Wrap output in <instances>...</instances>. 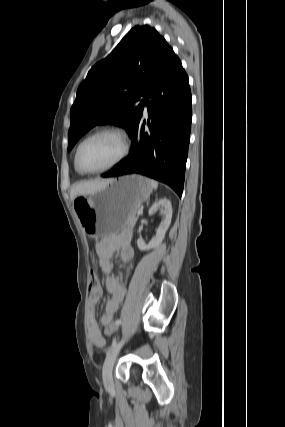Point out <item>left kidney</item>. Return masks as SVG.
I'll return each instance as SVG.
<instances>
[{"label": "left kidney", "mask_w": 285, "mask_h": 427, "mask_svg": "<svg viewBox=\"0 0 285 427\" xmlns=\"http://www.w3.org/2000/svg\"><path fill=\"white\" fill-rule=\"evenodd\" d=\"M158 208L161 209V212L165 215V218L158 227L156 236L150 241L149 245H146L142 239L137 240V246L141 251L149 250L159 246L163 241L165 233L170 226L172 218L171 202L166 198L155 202L150 208L149 214H153Z\"/></svg>", "instance_id": "obj_1"}]
</instances>
